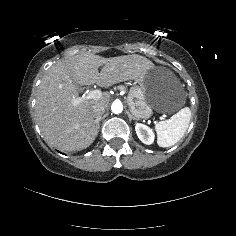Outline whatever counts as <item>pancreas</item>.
Segmentation results:
<instances>
[{
	"mask_svg": "<svg viewBox=\"0 0 236 236\" xmlns=\"http://www.w3.org/2000/svg\"><path fill=\"white\" fill-rule=\"evenodd\" d=\"M113 89L116 93L119 94L121 90L125 89V87L123 85H116V86L113 87Z\"/></svg>",
	"mask_w": 236,
	"mask_h": 236,
	"instance_id": "pancreas-1",
	"label": "pancreas"
}]
</instances>
